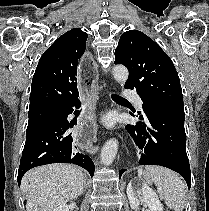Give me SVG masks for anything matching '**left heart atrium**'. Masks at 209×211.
Returning a JSON list of instances; mask_svg holds the SVG:
<instances>
[{"instance_id":"left-heart-atrium-1","label":"left heart atrium","mask_w":209,"mask_h":211,"mask_svg":"<svg viewBox=\"0 0 209 211\" xmlns=\"http://www.w3.org/2000/svg\"><path fill=\"white\" fill-rule=\"evenodd\" d=\"M116 123V116L113 115V114H108L105 116L104 118V124L107 126V127H113Z\"/></svg>"}]
</instances>
